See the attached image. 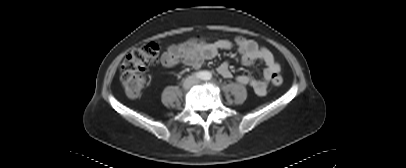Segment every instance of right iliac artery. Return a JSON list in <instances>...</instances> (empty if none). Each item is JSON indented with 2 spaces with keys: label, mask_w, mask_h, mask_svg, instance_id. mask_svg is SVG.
<instances>
[{
  "label": "right iliac artery",
  "mask_w": 406,
  "mask_h": 168,
  "mask_svg": "<svg viewBox=\"0 0 406 168\" xmlns=\"http://www.w3.org/2000/svg\"><path fill=\"white\" fill-rule=\"evenodd\" d=\"M205 75H206V73L205 72H197L196 73V77H198V78H200V79H203L204 77H205Z\"/></svg>",
  "instance_id": "obj_1"
}]
</instances>
